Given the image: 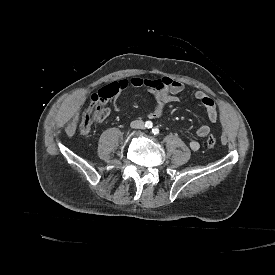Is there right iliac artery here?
Here are the masks:
<instances>
[{"label": "right iliac artery", "mask_w": 275, "mask_h": 275, "mask_svg": "<svg viewBox=\"0 0 275 275\" xmlns=\"http://www.w3.org/2000/svg\"><path fill=\"white\" fill-rule=\"evenodd\" d=\"M152 126H153V123L151 121H146L145 127L149 129V128H152Z\"/></svg>", "instance_id": "obj_1"}]
</instances>
